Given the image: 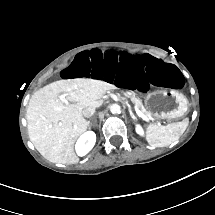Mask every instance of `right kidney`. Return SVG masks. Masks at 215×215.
I'll return each mask as SVG.
<instances>
[{
	"label": "right kidney",
	"mask_w": 215,
	"mask_h": 215,
	"mask_svg": "<svg viewBox=\"0 0 215 215\" xmlns=\"http://www.w3.org/2000/svg\"><path fill=\"white\" fill-rule=\"evenodd\" d=\"M96 143V134L94 131L88 130L82 133L77 139L74 149L76 155L79 157L85 156L89 151L92 150Z\"/></svg>",
	"instance_id": "1"
}]
</instances>
